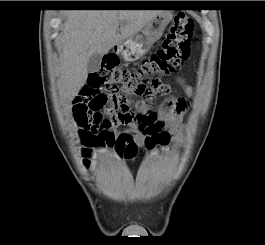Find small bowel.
I'll return each mask as SVG.
<instances>
[{
	"label": "small bowel",
	"mask_w": 265,
	"mask_h": 245,
	"mask_svg": "<svg viewBox=\"0 0 265 245\" xmlns=\"http://www.w3.org/2000/svg\"><path fill=\"white\" fill-rule=\"evenodd\" d=\"M179 82L183 85L185 93L190 96L193 93L192 87L185 85L182 79H179ZM162 86L164 85L162 84ZM164 87L166 88V86ZM168 94L169 90L168 88H166L165 95ZM100 98L101 96L99 93L94 92V90L89 85H85L74 101V110L76 117L81 120L83 115L91 112L92 105L97 104ZM135 109L144 112L146 106L144 103H138L135 106ZM185 110L186 105L183 100L166 98L161 107L154 112L156 116L164 121V123L171 130L173 134L172 146L174 148H179L184 144L181 121ZM106 113L110 114V111ZM119 125L120 124L113 122L108 126H101L100 128L101 130L112 133L116 142H121L123 146L126 147V149L133 150L135 154L138 150L137 144L144 140L143 135L138 133V129L133 123L128 124V128L124 131H116V128ZM94 146L96 147V149L100 150L106 147V144L105 141L102 140L99 144ZM80 151L84 160L85 167L91 171L95 170V165H93V158L95 155L94 149L91 147L82 146L80 148ZM132 156H122L119 154L120 159H130L132 158Z\"/></svg>",
	"instance_id": "small-bowel-1"
}]
</instances>
